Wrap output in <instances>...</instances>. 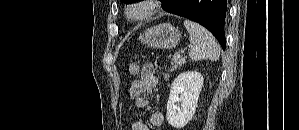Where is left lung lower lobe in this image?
I'll return each mask as SVG.
<instances>
[{
  "label": "left lung lower lobe",
  "instance_id": "1",
  "mask_svg": "<svg viewBox=\"0 0 299 130\" xmlns=\"http://www.w3.org/2000/svg\"><path fill=\"white\" fill-rule=\"evenodd\" d=\"M163 5L165 11L191 19L207 28L225 50L227 0H166Z\"/></svg>",
  "mask_w": 299,
  "mask_h": 130
}]
</instances>
